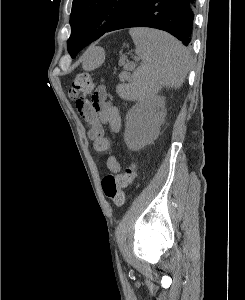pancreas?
Masks as SVG:
<instances>
[{"instance_id":"cf45deb5","label":"pancreas","mask_w":245,"mask_h":300,"mask_svg":"<svg viewBox=\"0 0 245 300\" xmlns=\"http://www.w3.org/2000/svg\"><path fill=\"white\" fill-rule=\"evenodd\" d=\"M120 79L121 81H126L129 79V75L127 72H123L121 75H120Z\"/></svg>"}]
</instances>
